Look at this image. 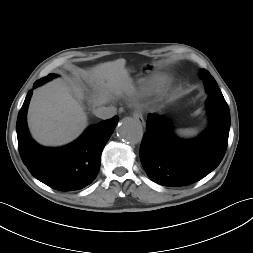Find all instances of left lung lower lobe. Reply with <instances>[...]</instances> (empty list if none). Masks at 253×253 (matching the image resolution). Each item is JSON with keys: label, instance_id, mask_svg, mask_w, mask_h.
<instances>
[{"label": "left lung lower lobe", "instance_id": "left-lung-lower-lobe-1", "mask_svg": "<svg viewBox=\"0 0 253 253\" xmlns=\"http://www.w3.org/2000/svg\"><path fill=\"white\" fill-rule=\"evenodd\" d=\"M209 127L194 140L177 138L162 116L149 114L140 148L141 163L158 184L170 187L195 183L221 162L228 143L230 112L224 97L209 94Z\"/></svg>", "mask_w": 253, "mask_h": 253}]
</instances>
